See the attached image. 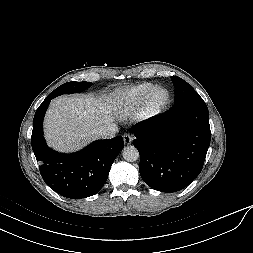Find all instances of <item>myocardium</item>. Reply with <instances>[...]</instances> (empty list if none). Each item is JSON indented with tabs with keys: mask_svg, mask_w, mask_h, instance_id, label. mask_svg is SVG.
Wrapping results in <instances>:
<instances>
[{
	"mask_svg": "<svg viewBox=\"0 0 253 253\" xmlns=\"http://www.w3.org/2000/svg\"><path fill=\"white\" fill-rule=\"evenodd\" d=\"M162 93L161 98L158 95ZM170 102V93L169 91L161 86L155 87L147 99L145 100L141 111L140 116L143 119H152L159 116L167 107Z\"/></svg>",
	"mask_w": 253,
	"mask_h": 253,
	"instance_id": "myocardium-1",
	"label": "myocardium"
}]
</instances>
